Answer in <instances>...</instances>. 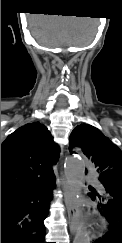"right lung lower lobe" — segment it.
I'll return each mask as SVG.
<instances>
[{
	"label": "right lung lower lobe",
	"mask_w": 122,
	"mask_h": 243,
	"mask_svg": "<svg viewBox=\"0 0 122 243\" xmlns=\"http://www.w3.org/2000/svg\"><path fill=\"white\" fill-rule=\"evenodd\" d=\"M55 186L53 173L1 195V243H46L44 220Z\"/></svg>",
	"instance_id": "1"
}]
</instances>
